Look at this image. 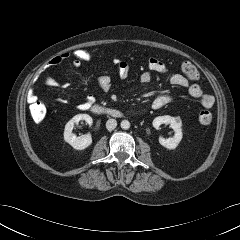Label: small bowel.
Segmentation results:
<instances>
[{"instance_id": "1", "label": "small bowel", "mask_w": 240, "mask_h": 240, "mask_svg": "<svg viewBox=\"0 0 240 240\" xmlns=\"http://www.w3.org/2000/svg\"><path fill=\"white\" fill-rule=\"evenodd\" d=\"M68 57L66 53H61L53 57L49 62L48 66H55L67 61ZM115 66L117 67V74L118 78L121 80H125L128 78L130 73V66L127 62L123 60H115ZM148 70L144 71L140 75V81L142 83H149L152 79V73H159V74H167V67L166 65L156 58H149L147 63ZM99 84L104 92L110 91L112 87V79L108 74H102L99 76ZM169 81L173 86L187 88L188 93L190 96L197 98L200 100L202 106L205 108H211L214 103L215 99L212 95L204 93L203 89L199 84L191 83V81L183 74L174 73L169 76ZM44 82L53 87L58 88H67L70 84L67 81H59L51 76H46L44 78ZM172 100V95L165 91L158 94L153 103V109H160L166 104H168ZM27 101L29 103L37 101V95L33 88H30L27 93ZM60 103L66 104L68 101L66 99H60ZM94 102V98L92 96H88L87 99L77 105L79 110H86L88 109Z\"/></svg>"}]
</instances>
